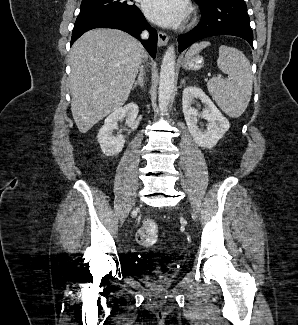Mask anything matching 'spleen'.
Instances as JSON below:
<instances>
[{
    "instance_id": "3e777b00",
    "label": "spleen",
    "mask_w": 298,
    "mask_h": 325,
    "mask_svg": "<svg viewBox=\"0 0 298 325\" xmlns=\"http://www.w3.org/2000/svg\"><path fill=\"white\" fill-rule=\"evenodd\" d=\"M210 44L209 40L195 42L188 48L186 56H193ZM217 66L228 74L229 80L213 76L208 80L207 88L221 110L231 118H237L246 110L252 94L253 76L250 62L242 50L221 44Z\"/></svg>"
}]
</instances>
